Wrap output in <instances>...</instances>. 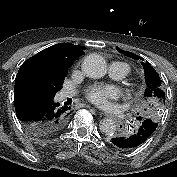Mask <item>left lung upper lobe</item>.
I'll return each instance as SVG.
<instances>
[{
  "mask_svg": "<svg viewBox=\"0 0 177 177\" xmlns=\"http://www.w3.org/2000/svg\"><path fill=\"white\" fill-rule=\"evenodd\" d=\"M121 53L134 57V54L130 52L120 51ZM145 71V81L146 90L144 93L145 100L148 104L147 109H145L144 118L158 122L163 106L165 105V93L163 91L162 80H160L158 73L151 66V64L146 61L142 63ZM141 120L142 118H137Z\"/></svg>",
  "mask_w": 177,
  "mask_h": 177,
  "instance_id": "left-lung-upper-lobe-1",
  "label": "left lung upper lobe"
}]
</instances>
